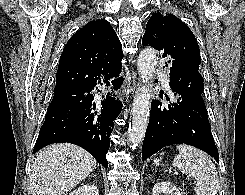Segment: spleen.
I'll return each mask as SVG.
<instances>
[{"mask_svg":"<svg viewBox=\"0 0 245 195\" xmlns=\"http://www.w3.org/2000/svg\"><path fill=\"white\" fill-rule=\"evenodd\" d=\"M179 154L175 157L172 166L191 175L194 179L196 195H216L220 188V181L215 165L211 159L199 149L181 144L176 146ZM156 166L160 160L155 158Z\"/></svg>","mask_w":245,"mask_h":195,"instance_id":"1","label":"spleen"}]
</instances>
